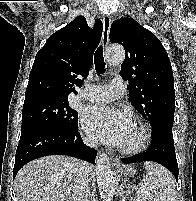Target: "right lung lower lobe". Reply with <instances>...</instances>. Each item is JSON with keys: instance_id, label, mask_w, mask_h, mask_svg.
Returning <instances> with one entry per match:
<instances>
[{"instance_id": "1", "label": "right lung lower lobe", "mask_w": 196, "mask_h": 201, "mask_svg": "<svg viewBox=\"0 0 196 201\" xmlns=\"http://www.w3.org/2000/svg\"><path fill=\"white\" fill-rule=\"evenodd\" d=\"M47 155L73 156L94 163L97 151L84 145L78 126L71 131L45 126L29 127L21 132L13 176L26 163Z\"/></svg>"}]
</instances>
